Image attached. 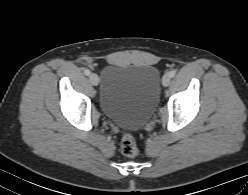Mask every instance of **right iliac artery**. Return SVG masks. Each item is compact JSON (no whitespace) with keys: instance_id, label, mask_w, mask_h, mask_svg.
Wrapping results in <instances>:
<instances>
[{"instance_id":"1","label":"right iliac artery","mask_w":248,"mask_h":195,"mask_svg":"<svg viewBox=\"0 0 248 195\" xmlns=\"http://www.w3.org/2000/svg\"><path fill=\"white\" fill-rule=\"evenodd\" d=\"M84 74L87 75V76H89V75L91 74V72H90V70L86 69V70L84 71Z\"/></svg>"}]
</instances>
